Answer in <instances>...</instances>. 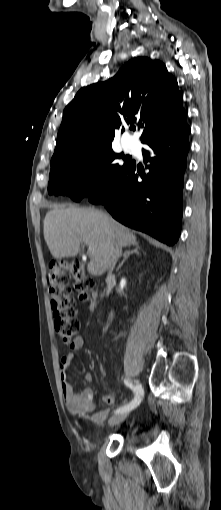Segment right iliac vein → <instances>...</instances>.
Wrapping results in <instances>:
<instances>
[{
    "instance_id": "obj_1",
    "label": "right iliac vein",
    "mask_w": 221,
    "mask_h": 510,
    "mask_svg": "<svg viewBox=\"0 0 221 510\" xmlns=\"http://www.w3.org/2000/svg\"><path fill=\"white\" fill-rule=\"evenodd\" d=\"M127 416H128L127 412L117 413L109 419L108 423L110 426L120 424L121 422H123L126 419Z\"/></svg>"
}]
</instances>
